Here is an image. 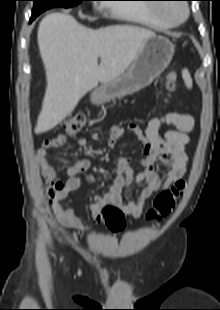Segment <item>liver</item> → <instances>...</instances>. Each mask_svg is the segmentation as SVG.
<instances>
[{
	"label": "liver",
	"instance_id": "liver-1",
	"mask_svg": "<svg viewBox=\"0 0 220 310\" xmlns=\"http://www.w3.org/2000/svg\"><path fill=\"white\" fill-rule=\"evenodd\" d=\"M153 36V31L136 26L94 30L68 14L46 15L39 24L37 39L47 87L35 133L57 126L99 82L122 75L143 43Z\"/></svg>",
	"mask_w": 220,
	"mask_h": 310
}]
</instances>
